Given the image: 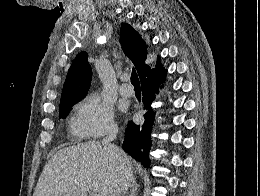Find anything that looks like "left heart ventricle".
Masks as SVG:
<instances>
[{"mask_svg":"<svg viewBox=\"0 0 260 196\" xmlns=\"http://www.w3.org/2000/svg\"><path fill=\"white\" fill-rule=\"evenodd\" d=\"M96 192H106L107 190H95ZM55 192H66V190H55Z\"/></svg>","mask_w":260,"mask_h":196,"instance_id":"1","label":"left heart ventricle"}]
</instances>
